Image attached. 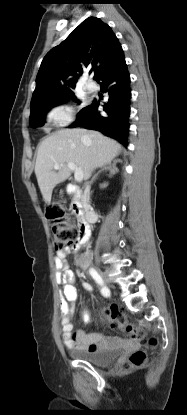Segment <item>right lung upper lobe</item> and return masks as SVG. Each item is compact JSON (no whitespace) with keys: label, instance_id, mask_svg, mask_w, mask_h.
<instances>
[{"label":"right lung upper lobe","instance_id":"obj_1","mask_svg":"<svg viewBox=\"0 0 187 415\" xmlns=\"http://www.w3.org/2000/svg\"><path fill=\"white\" fill-rule=\"evenodd\" d=\"M111 28L99 18L89 17L44 57L36 77L31 111L54 104L73 92L78 78L89 67L95 78L122 52Z\"/></svg>","mask_w":187,"mask_h":415}]
</instances>
